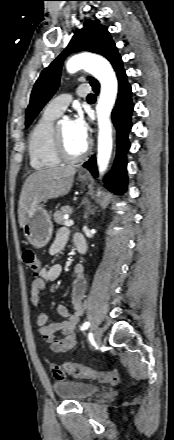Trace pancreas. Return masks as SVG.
<instances>
[{"mask_svg": "<svg viewBox=\"0 0 174 440\" xmlns=\"http://www.w3.org/2000/svg\"><path fill=\"white\" fill-rule=\"evenodd\" d=\"M72 212H73V210H72L71 207H69V206H63V207H61L60 210L56 211V212L53 214L54 221H55L57 224H59V225H64V223H65V221H66V220L64 219V215H65V214H72Z\"/></svg>", "mask_w": 174, "mask_h": 440, "instance_id": "cf45deb5", "label": "pancreas"}]
</instances>
